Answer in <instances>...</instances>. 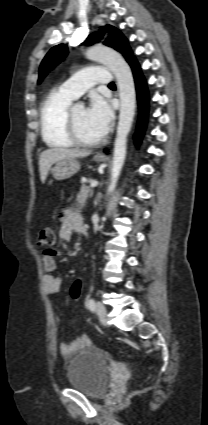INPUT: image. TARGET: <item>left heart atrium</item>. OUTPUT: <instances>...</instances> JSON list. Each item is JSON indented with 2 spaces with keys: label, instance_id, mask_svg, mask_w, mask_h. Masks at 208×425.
Wrapping results in <instances>:
<instances>
[{
  "label": "left heart atrium",
  "instance_id": "left-heart-atrium-1",
  "mask_svg": "<svg viewBox=\"0 0 208 425\" xmlns=\"http://www.w3.org/2000/svg\"><path fill=\"white\" fill-rule=\"evenodd\" d=\"M86 113L90 124L97 134L100 137L104 136L110 128L113 117L109 104L103 98L93 96Z\"/></svg>",
  "mask_w": 208,
  "mask_h": 425
}]
</instances>
